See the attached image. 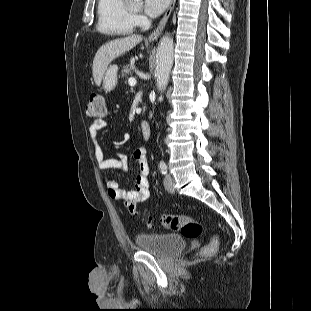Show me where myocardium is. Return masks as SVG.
Instances as JSON below:
<instances>
[{
	"instance_id": "1",
	"label": "myocardium",
	"mask_w": 311,
	"mask_h": 311,
	"mask_svg": "<svg viewBox=\"0 0 311 311\" xmlns=\"http://www.w3.org/2000/svg\"><path fill=\"white\" fill-rule=\"evenodd\" d=\"M127 8H128V10H129V12L131 13V15L134 16L135 11H134L133 9H131L130 6H128V5H127Z\"/></svg>"
}]
</instances>
